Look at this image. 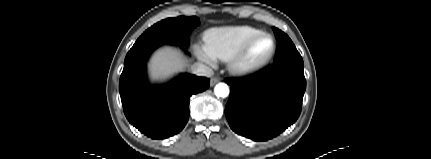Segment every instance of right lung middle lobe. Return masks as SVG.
Wrapping results in <instances>:
<instances>
[{
  "label": "right lung middle lobe",
  "instance_id": "dd1d6c3e",
  "mask_svg": "<svg viewBox=\"0 0 431 159\" xmlns=\"http://www.w3.org/2000/svg\"><path fill=\"white\" fill-rule=\"evenodd\" d=\"M200 24L196 16L168 18L147 29L135 42L140 44L149 41L179 42L188 46V37L191 31Z\"/></svg>",
  "mask_w": 431,
  "mask_h": 159
}]
</instances>
